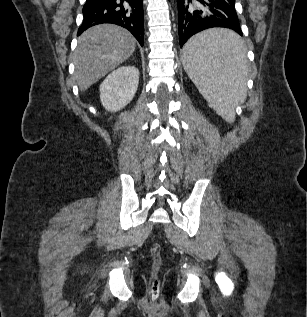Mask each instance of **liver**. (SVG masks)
Masks as SVG:
<instances>
[{
    "label": "liver",
    "mask_w": 307,
    "mask_h": 317,
    "mask_svg": "<svg viewBox=\"0 0 307 317\" xmlns=\"http://www.w3.org/2000/svg\"><path fill=\"white\" fill-rule=\"evenodd\" d=\"M136 40L126 29L102 24L86 30L74 52L75 79L81 91L126 61L135 51Z\"/></svg>",
    "instance_id": "6515ba94"
}]
</instances>
